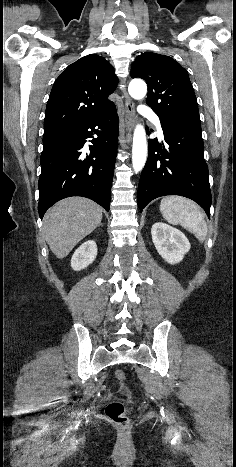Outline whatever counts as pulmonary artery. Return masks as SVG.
Here are the masks:
<instances>
[{
  "label": "pulmonary artery",
  "instance_id": "e3ab8cb5",
  "mask_svg": "<svg viewBox=\"0 0 236 467\" xmlns=\"http://www.w3.org/2000/svg\"><path fill=\"white\" fill-rule=\"evenodd\" d=\"M140 113L142 116L150 119L156 126V128L158 129V132L159 134L162 135V128H161V124H160V121H159V117L158 115L152 111V109L146 105H143L141 108H140Z\"/></svg>",
  "mask_w": 236,
  "mask_h": 467
}]
</instances>
